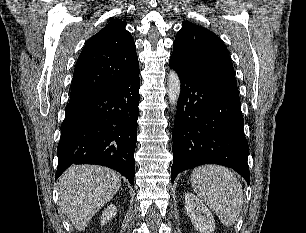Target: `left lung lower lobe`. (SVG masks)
Instances as JSON below:
<instances>
[{
  "mask_svg": "<svg viewBox=\"0 0 306 233\" xmlns=\"http://www.w3.org/2000/svg\"><path fill=\"white\" fill-rule=\"evenodd\" d=\"M181 79V92L173 129L171 180L202 164H219L237 171L250 183L248 142L237 84L197 73L170 58Z\"/></svg>",
  "mask_w": 306,
  "mask_h": 233,
  "instance_id": "left-lung-lower-lobe-1",
  "label": "left lung lower lobe"
}]
</instances>
